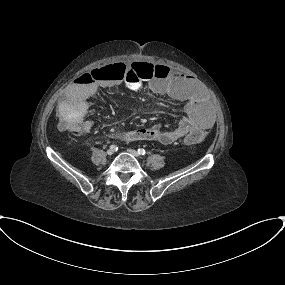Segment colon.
I'll use <instances>...</instances> for the list:
<instances>
[{
    "label": "colon",
    "mask_w": 285,
    "mask_h": 285,
    "mask_svg": "<svg viewBox=\"0 0 285 285\" xmlns=\"http://www.w3.org/2000/svg\"><path fill=\"white\" fill-rule=\"evenodd\" d=\"M122 64H113L106 69L93 70L89 72H81L76 80L79 83L90 84L96 80L104 79L107 75L114 74L122 68ZM141 81H151L153 79L168 80L176 76V73L168 67L160 64H150L147 62H136L132 64L129 69ZM80 118L68 119L64 118L61 121V126L65 130L78 131ZM205 139L204 133L201 130L191 131L185 138L184 142L187 144H197Z\"/></svg>",
    "instance_id": "5ec220e1"
}]
</instances>
